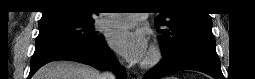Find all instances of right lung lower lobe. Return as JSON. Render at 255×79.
Here are the masks:
<instances>
[{"mask_svg": "<svg viewBox=\"0 0 255 79\" xmlns=\"http://www.w3.org/2000/svg\"><path fill=\"white\" fill-rule=\"evenodd\" d=\"M55 60H71L88 64L95 68L114 69L119 78H126L124 69L118 67L115 57L103 36L95 43L81 44L65 41H48L37 44L31 59L28 79L40 67Z\"/></svg>", "mask_w": 255, "mask_h": 79, "instance_id": "98d812e1", "label": "right lung lower lobe"}]
</instances>
